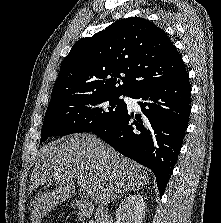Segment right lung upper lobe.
<instances>
[{
  "mask_svg": "<svg viewBox=\"0 0 221 223\" xmlns=\"http://www.w3.org/2000/svg\"><path fill=\"white\" fill-rule=\"evenodd\" d=\"M185 72L165 31L149 20L130 17L73 45L61 64L50 103L83 94L130 96Z\"/></svg>",
  "mask_w": 221,
  "mask_h": 223,
  "instance_id": "right-lung-upper-lobe-1",
  "label": "right lung upper lobe"
}]
</instances>
